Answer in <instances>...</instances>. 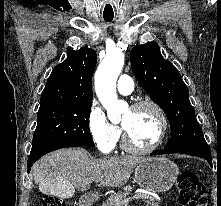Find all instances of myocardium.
Returning a JSON list of instances; mask_svg holds the SVG:
<instances>
[{"label":"myocardium","mask_w":221,"mask_h":206,"mask_svg":"<svg viewBox=\"0 0 221 206\" xmlns=\"http://www.w3.org/2000/svg\"><path fill=\"white\" fill-rule=\"evenodd\" d=\"M145 106L151 107L156 112V114L160 120V131H159L157 139L150 146L137 147L136 145H134L132 143L127 131L122 126L123 146L127 151H129L133 154L142 155V154H148V153L155 151L162 144L163 140L165 139L166 133H167L168 121H167L166 115H165L162 107L154 100L141 99V100L133 103L130 106V110H136V109H139V108L145 107Z\"/></svg>","instance_id":"f54148a6"}]
</instances>
